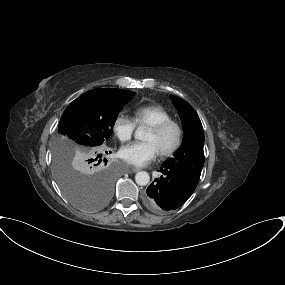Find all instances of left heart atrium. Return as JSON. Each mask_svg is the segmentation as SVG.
<instances>
[{
  "instance_id": "obj_1",
  "label": "left heart atrium",
  "mask_w": 285,
  "mask_h": 285,
  "mask_svg": "<svg viewBox=\"0 0 285 285\" xmlns=\"http://www.w3.org/2000/svg\"><path fill=\"white\" fill-rule=\"evenodd\" d=\"M119 155L131 165L141 167L153 161L158 155V150L150 141L134 142L121 148Z\"/></svg>"
}]
</instances>
